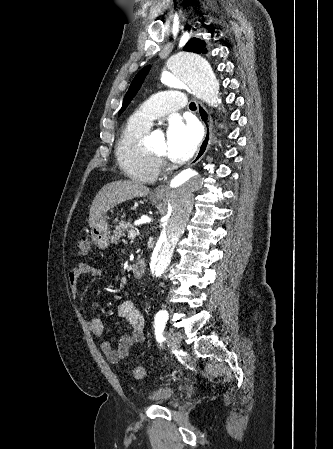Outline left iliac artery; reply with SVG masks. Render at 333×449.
Wrapping results in <instances>:
<instances>
[{
    "mask_svg": "<svg viewBox=\"0 0 333 449\" xmlns=\"http://www.w3.org/2000/svg\"><path fill=\"white\" fill-rule=\"evenodd\" d=\"M167 319H168V313L165 310L159 311L155 316V325H154L155 335H156V340L159 343H162V341L164 340L162 332L165 328Z\"/></svg>",
    "mask_w": 333,
    "mask_h": 449,
    "instance_id": "left-iliac-artery-1",
    "label": "left iliac artery"
}]
</instances>
